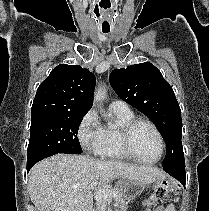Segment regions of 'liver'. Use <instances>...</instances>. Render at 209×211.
Here are the masks:
<instances>
[{
  "label": "liver",
  "mask_w": 209,
  "mask_h": 211,
  "mask_svg": "<svg viewBox=\"0 0 209 211\" xmlns=\"http://www.w3.org/2000/svg\"><path fill=\"white\" fill-rule=\"evenodd\" d=\"M115 178L149 185L163 178V172L90 156L57 154L32 167L28 192L37 211H95L93 193L88 187L98 181L102 189Z\"/></svg>",
  "instance_id": "6515ba94"
}]
</instances>
